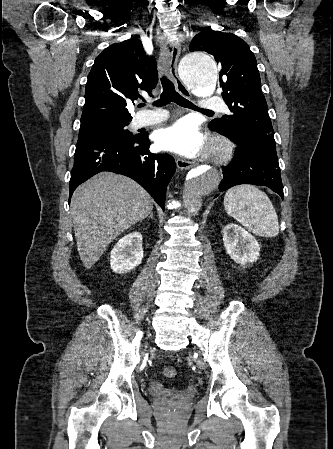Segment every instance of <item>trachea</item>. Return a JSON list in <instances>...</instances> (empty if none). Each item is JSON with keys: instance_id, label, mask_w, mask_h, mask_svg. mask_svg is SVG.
Listing matches in <instances>:
<instances>
[{"instance_id": "obj_1", "label": "trachea", "mask_w": 333, "mask_h": 449, "mask_svg": "<svg viewBox=\"0 0 333 449\" xmlns=\"http://www.w3.org/2000/svg\"><path fill=\"white\" fill-rule=\"evenodd\" d=\"M161 83L163 87V92L160 95V99L154 102L155 106L162 107L170 102H175L176 104L182 107L194 109L201 112H212L210 110L200 109L197 106H195L192 102L182 97L179 93L176 92L173 82L169 80L166 76H162ZM139 106L140 107L144 106V103L140 104Z\"/></svg>"}]
</instances>
